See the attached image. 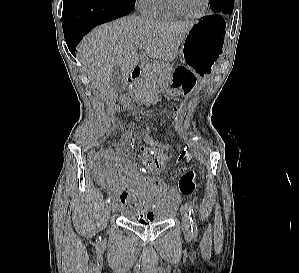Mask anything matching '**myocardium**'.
I'll return each mask as SVG.
<instances>
[{
    "instance_id": "f54148a6",
    "label": "myocardium",
    "mask_w": 299,
    "mask_h": 273,
    "mask_svg": "<svg viewBox=\"0 0 299 273\" xmlns=\"http://www.w3.org/2000/svg\"><path fill=\"white\" fill-rule=\"evenodd\" d=\"M168 2L175 12H177L180 16H183V17H186L189 19H197V18L202 17L205 14V12L207 11L208 6H209V0H204V5L200 12H198L196 14H189V13L185 12L180 7L178 0H168Z\"/></svg>"
}]
</instances>
